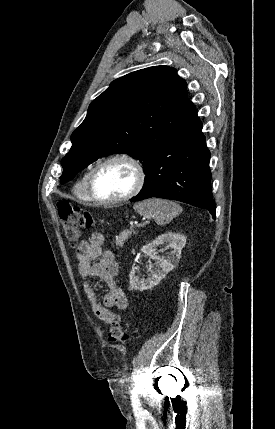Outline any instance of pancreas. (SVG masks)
Listing matches in <instances>:
<instances>
[{
  "instance_id": "obj_1",
  "label": "pancreas",
  "mask_w": 275,
  "mask_h": 429,
  "mask_svg": "<svg viewBox=\"0 0 275 429\" xmlns=\"http://www.w3.org/2000/svg\"><path fill=\"white\" fill-rule=\"evenodd\" d=\"M132 230H125L123 232H121L117 237H116V245L119 247H122L124 242L129 238V236L131 235Z\"/></svg>"
}]
</instances>
